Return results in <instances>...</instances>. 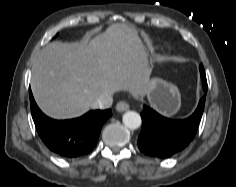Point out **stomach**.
<instances>
[{"label": "stomach", "instance_id": "1", "mask_svg": "<svg viewBox=\"0 0 236 187\" xmlns=\"http://www.w3.org/2000/svg\"><path fill=\"white\" fill-rule=\"evenodd\" d=\"M147 98L150 105L164 115L175 114L181 105L177 86L159 78L150 81Z\"/></svg>", "mask_w": 236, "mask_h": 187}]
</instances>
